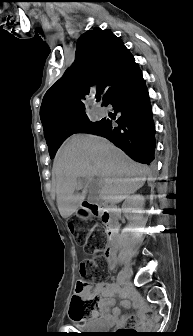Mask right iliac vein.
<instances>
[{
  "label": "right iliac vein",
  "instance_id": "63e3f726",
  "mask_svg": "<svg viewBox=\"0 0 193 336\" xmlns=\"http://www.w3.org/2000/svg\"><path fill=\"white\" fill-rule=\"evenodd\" d=\"M121 272H122V282L130 279L132 275V271H131V267L128 264L125 265V267L123 268Z\"/></svg>",
  "mask_w": 193,
  "mask_h": 336
}]
</instances>
